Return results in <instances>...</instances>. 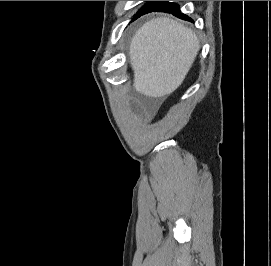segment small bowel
<instances>
[{"mask_svg": "<svg viewBox=\"0 0 271 266\" xmlns=\"http://www.w3.org/2000/svg\"><path fill=\"white\" fill-rule=\"evenodd\" d=\"M155 108H156V104L155 103H147L144 106V110L145 111H153V110H155Z\"/></svg>", "mask_w": 271, "mask_h": 266, "instance_id": "small-bowel-1", "label": "small bowel"}]
</instances>
